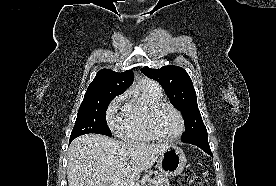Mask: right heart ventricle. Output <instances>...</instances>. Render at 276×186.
<instances>
[{
	"label": "right heart ventricle",
	"instance_id": "e07e8e85",
	"mask_svg": "<svg viewBox=\"0 0 276 186\" xmlns=\"http://www.w3.org/2000/svg\"><path fill=\"white\" fill-rule=\"evenodd\" d=\"M163 100L162 90L156 82L143 81L126 104L127 119L117 131L118 135L132 141H153L146 127V113L152 104Z\"/></svg>",
	"mask_w": 276,
	"mask_h": 186
}]
</instances>
